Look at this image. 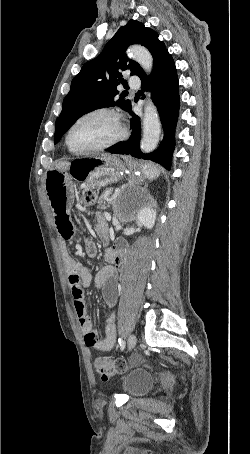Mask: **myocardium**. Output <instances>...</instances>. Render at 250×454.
<instances>
[{
  "mask_svg": "<svg viewBox=\"0 0 250 454\" xmlns=\"http://www.w3.org/2000/svg\"><path fill=\"white\" fill-rule=\"evenodd\" d=\"M97 114H107V115L111 116L116 124L117 134L110 140H108L100 145H97L95 147H92L89 149H84V150L74 149L70 144V136H71L73 129L76 127L77 124H79L84 119L91 117L93 115H97ZM126 135H127V130L123 124V121H122V118H121V115L119 114V112H117L115 109L109 108V107H98V108H94L92 110H89V111L83 113L71 124V126L69 127V129L67 131L65 142H66L68 149L74 154H91V153L103 151V150H106V149H109V148L115 146L116 144H118L119 142L124 140Z\"/></svg>",
  "mask_w": 250,
  "mask_h": 454,
  "instance_id": "1",
  "label": "myocardium"
}]
</instances>
